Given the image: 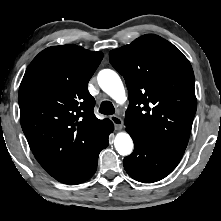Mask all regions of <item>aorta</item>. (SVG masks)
I'll use <instances>...</instances> for the list:
<instances>
[{"label": "aorta", "instance_id": "aorta-1", "mask_svg": "<svg viewBox=\"0 0 221 221\" xmlns=\"http://www.w3.org/2000/svg\"><path fill=\"white\" fill-rule=\"evenodd\" d=\"M98 83L101 89L117 103L125 101V89L119 75L115 71L111 69L101 70L98 74ZM114 146L120 155L127 156L133 150V141L127 133L120 132L115 137Z\"/></svg>", "mask_w": 221, "mask_h": 221}]
</instances>
